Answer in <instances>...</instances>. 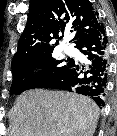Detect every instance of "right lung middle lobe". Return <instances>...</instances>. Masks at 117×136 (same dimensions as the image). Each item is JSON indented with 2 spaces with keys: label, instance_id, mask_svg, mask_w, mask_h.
<instances>
[{
  "label": "right lung middle lobe",
  "instance_id": "obj_1",
  "mask_svg": "<svg viewBox=\"0 0 117 136\" xmlns=\"http://www.w3.org/2000/svg\"><path fill=\"white\" fill-rule=\"evenodd\" d=\"M63 60H56L51 55L43 57L29 63L18 66L12 70L13 81L10 88V94L19 95L25 90L40 86L46 80L61 71L67 62ZM33 68L42 69L40 75H32L30 71Z\"/></svg>",
  "mask_w": 117,
  "mask_h": 136
}]
</instances>
